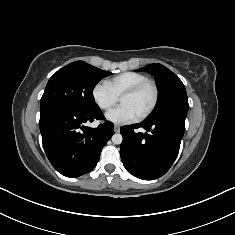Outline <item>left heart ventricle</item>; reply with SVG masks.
<instances>
[{
	"label": "left heart ventricle",
	"instance_id": "b2bd125f",
	"mask_svg": "<svg viewBox=\"0 0 235 235\" xmlns=\"http://www.w3.org/2000/svg\"><path fill=\"white\" fill-rule=\"evenodd\" d=\"M152 100V90L147 87L136 95L123 96L120 98L121 104L129 105L139 115H141L147 107L150 105Z\"/></svg>",
	"mask_w": 235,
	"mask_h": 235
}]
</instances>
